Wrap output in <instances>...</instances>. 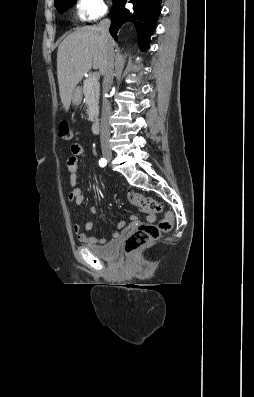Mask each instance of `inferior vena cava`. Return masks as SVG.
I'll return each mask as SVG.
<instances>
[{"instance_id":"602c4592","label":"inferior vena cava","mask_w":254,"mask_h":397,"mask_svg":"<svg viewBox=\"0 0 254 397\" xmlns=\"http://www.w3.org/2000/svg\"><path fill=\"white\" fill-rule=\"evenodd\" d=\"M100 31L102 38L105 42L107 53H106V66L103 73V93L107 94L113 82L114 77V48L112 45L111 36L109 33L110 20L103 19L100 22ZM111 115V104L106 97L103 98L102 104V117H101V134H100V142L103 150L109 148V139H110V123L109 118Z\"/></svg>"}]
</instances>
